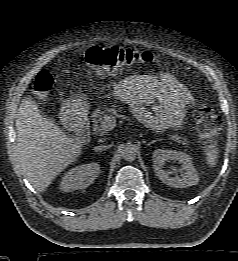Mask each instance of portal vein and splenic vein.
Returning <instances> with one entry per match:
<instances>
[{
    "instance_id": "18ae733b",
    "label": "portal vein and splenic vein",
    "mask_w": 238,
    "mask_h": 261,
    "mask_svg": "<svg viewBox=\"0 0 238 261\" xmlns=\"http://www.w3.org/2000/svg\"><path fill=\"white\" fill-rule=\"evenodd\" d=\"M102 126H103V128L106 131L112 130L116 126V119H115V117L112 116V115H106L104 117L103 122H102Z\"/></svg>"
}]
</instances>
